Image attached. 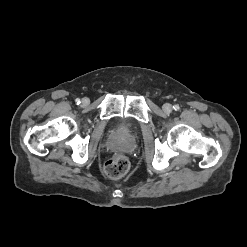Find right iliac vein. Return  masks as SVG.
I'll use <instances>...</instances> for the list:
<instances>
[{
	"instance_id": "obj_1",
	"label": "right iliac vein",
	"mask_w": 247,
	"mask_h": 247,
	"mask_svg": "<svg viewBox=\"0 0 247 247\" xmlns=\"http://www.w3.org/2000/svg\"><path fill=\"white\" fill-rule=\"evenodd\" d=\"M89 102H90L89 99L85 97V98L82 99L81 104L83 106H87L89 104Z\"/></svg>"
}]
</instances>
